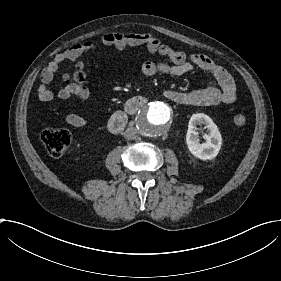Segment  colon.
Masks as SVG:
<instances>
[{"label": "colon", "mask_w": 281, "mask_h": 281, "mask_svg": "<svg viewBox=\"0 0 281 281\" xmlns=\"http://www.w3.org/2000/svg\"><path fill=\"white\" fill-rule=\"evenodd\" d=\"M232 123L235 127H244L247 117L243 113H235L232 116ZM41 139L47 149L48 155L52 158L60 157L71 142V136L66 128H48L41 134Z\"/></svg>", "instance_id": "colon-1"}]
</instances>
